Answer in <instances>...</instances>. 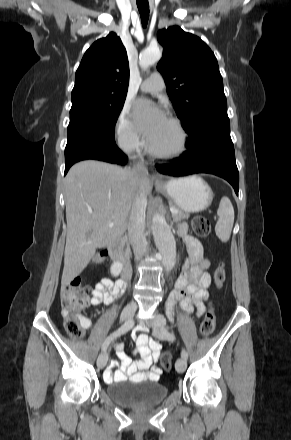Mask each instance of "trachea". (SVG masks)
<instances>
[{"label": "trachea", "mask_w": 291, "mask_h": 440, "mask_svg": "<svg viewBox=\"0 0 291 440\" xmlns=\"http://www.w3.org/2000/svg\"><path fill=\"white\" fill-rule=\"evenodd\" d=\"M138 10L141 16L143 27L145 28L149 18V4L148 0H137Z\"/></svg>", "instance_id": "trachea-1"}]
</instances>
